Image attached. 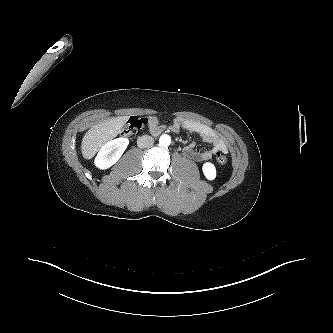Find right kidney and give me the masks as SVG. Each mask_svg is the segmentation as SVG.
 <instances>
[{"label": "right kidney", "instance_id": "1", "mask_svg": "<svg viewBox=\"0 0 333 333\" xmlns=\"http://www.w3.org/2000/svg\"><path fill=\"white\" fill-rule=\"evenodd\" d=\"M128 144L129 140L123 137L107 142L95 157V166L102 170L110 168L120 159Z\"/></svg>", "mask_w": 333, "mask_h": 333}]
</instances>
